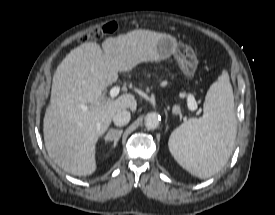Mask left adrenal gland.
I'll return each instance as SVG.
<instances>
[{"label":"left adrenal gland","mask_w":275,"mask_h":215,"mask_svg":"<svg viewBox=\"0 0 275 215\" xmlns=\"http://www.w3.org/2000/svg\"><path fill=\"white\" fill-rule=\"evenodd\" d=\"M172 113L173 115H179L180 119H181V110L180 107L175 105L172 109Z\"/></svg>","instance_id":"a2214340"}]
</instances>
